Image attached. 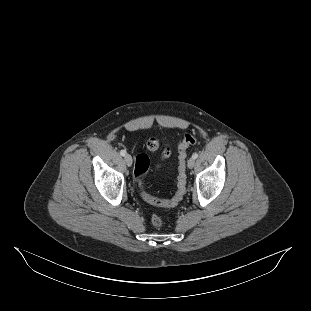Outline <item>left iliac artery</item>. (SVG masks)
Listing matches in <instances>:
<instances>
[{"instance_id": "obj_1", "label": "left iliac artery", "mask_w": 311, "mask_h": 311, "mask_svg": "<svg viewBox=\"0 0 311 311\" xmlns=\"http://www.w3.org/2000/svg\"><path fill=\"white\" fill-rule=\"evenodd\" d=\"M198 157L197 153H193L192 158L196 159Z\"/></svg>"}]
</instances>
